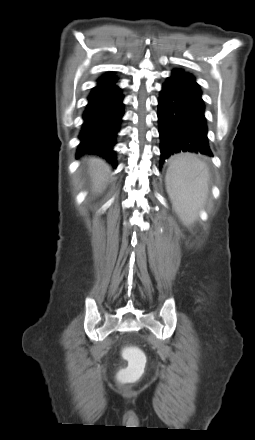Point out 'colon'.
<instances>
[{
	"instance_id": "colon-1",
	"label": "colon",
	"mask_w": 255,
	"mask_h": 440,
	"mask_svg": "<svg viewBox=\"0 0 255 440\" xmlns=\"http://www.w3.org/2000/svg\"><path fill=\"white\" fill-rule=\"evenodd\" d=\"M123 358L129 362V366L125 369L121 378L124 382L136 380L143 370V355L135 346H127L123 349Z\"/></svg>"
}]
</instances>
